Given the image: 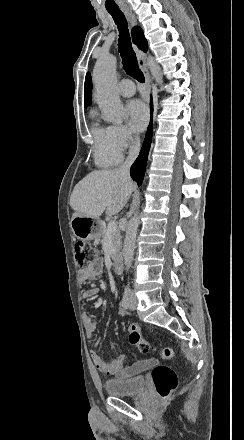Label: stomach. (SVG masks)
<instances>
[{
	"label": "stomach",
	"mask_w": 244,
	"mask_h": 440,
	"mask_svg": "<svg viewBox=\"0 0 244 440\" xmlns=\"http://www.w3.org/2000/svg\"><path fill=\"white\" fill-rule=\"evenodd\" d=\"M70 228L73 232V236H75L77 240H82V242L94 240V238H97L102 232L100 220L90 218V216H84V214H78V212L72 214Z\"/></svg>",
	"instance_id": "stomach-1"
}]
</instances>
